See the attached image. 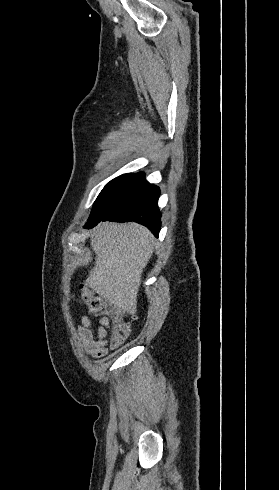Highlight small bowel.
I'll return each mask as SVG.
<instances>
[{"instance_id":"obj_1","label":"small bowel","mask_w":279,"mask_h":490,"mask_svg":"<svg viewBox=\"0 0 279 490\" xmlns=\"http://www.w3.org/2000/svg\"><path fill=\"white\" fill-rule=\"evenodd\" d=\"M111 324L107 318H99L97 324H94L90 316H83L81 323L77 327L78 340L87 354L95 358L107 356L108 333Z\"/></svg>"}]
</instances>
